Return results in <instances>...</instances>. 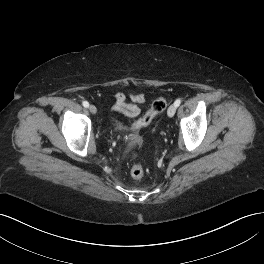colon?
Wrapping results in <instances>:
<instances>
[{
	"instance_id": "5ec220e1",
	"label": "colon",
	"mask_w": 264,
	"mask_h": 264,
	"mask_svg": "<svg viewBox=\"0 0 264 264\" xmlns=\"http://www.w3.org/2000/svg\"><path fill=\"white\" fill-rule=\"evenodd\" d=\"M167 106V102L164 98L155 99L145 114L138 119L134 124L133 128H141L147 126L152 120L161 113ZM144 167L141 164H135L131 167L130 175L134 179H140L144 175Z\"/></svg>"
}]
</instances>
